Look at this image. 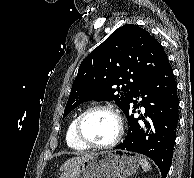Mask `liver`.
<instances>
[{"mask_svg":"<svg viewBox=\"0 0 194 178\" xmlns=\"http://www.w3.org/2000/svg\"><path fill=\"white\" fill-rule=\"evenodd\" d=\"M93 155V153H86L82 156H78V157H73L69 160H67L61 167L60 170L61 171H65L81 162H83L84 160H86L87 158L91 157Z\"/></svg>","mask_w":194,"mask_h":178,"instance_id":"1","label":"liver"}]
</instances>
